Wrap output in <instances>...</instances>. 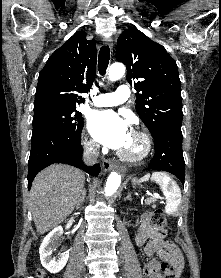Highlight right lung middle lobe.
Here are the masks:
<instances>
[{
  "label": "right lung middle lobe",
  "instance_id": "dd1d6c3e",
  "mask_svg": "<svg viewBox=\"0 0 221 278\" xmlns=\"http://www.w3.org/2000/svg\"><path fill=\"white\" fill-rule=\"evenodd\" d=\"M84 126L82 114L76 105L42 104L34 106L31 142L50 133L81 132Z\"/></svg>",
  "mask_w": 221,
  "mask_h": 278
}]
</instances>
